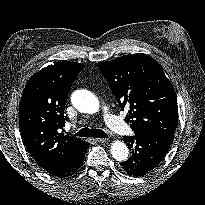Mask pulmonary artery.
<instances>
[{"mask_svg":"<svg viewBox=\"0 0 205 205\" xmlns=\"http://www.w3.org/2000/svg\"><path fill=\"white\" fill-rule=\"evenodd\" d=\"M103 115L109 128L116 133L123 134L128 131L127 125L115 116L111 115L106 107L103 109Z\"/></svg>","mask_w":205,"mask_h":205,"instance_id":"e3ab8cb5","label":"pulmonary artery"}]
</instances>
